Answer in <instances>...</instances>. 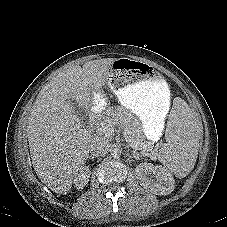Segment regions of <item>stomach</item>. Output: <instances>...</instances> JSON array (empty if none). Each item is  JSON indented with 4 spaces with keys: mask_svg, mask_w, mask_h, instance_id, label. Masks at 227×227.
Listing matches in <instances>:
<instances>
[{
    "mask_svg": "<svg viewBox=\"0 0 227 227\" xmlns=\"http://www.w3.org/2000/svg\"><path fill=\"white\" fill-rule=\"evenodd\" d=\"M104 79L121 105L139 117L144 136L155 140L163 129L170 101L168 84L157 68L138 58H123L107 66Z\"/></svg>",
    "mask_w": 227,
    "mask_h": 227,
    "instance_id": "obj_1",
    "label": "stomach"
}]
</instances>
